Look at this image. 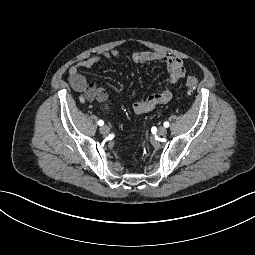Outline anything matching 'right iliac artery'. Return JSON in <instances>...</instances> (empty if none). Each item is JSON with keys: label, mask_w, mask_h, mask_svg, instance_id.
<instances>
[{"label": "right iliac artery", "mask_w": 255, "mask_h": 255, "mask_svg": "<svg viewBox=\"0 0 255 255\" xmlns=\"http://www.w3.org/2000/svg\"><path fill=\"white\" fill-rule=\"evenodd\" d=\"M104 124V122L102 120L98 121V125L102 126Z\"/></svg>", "instance_id": "right-iliac-artery-1"}]
</instances>
